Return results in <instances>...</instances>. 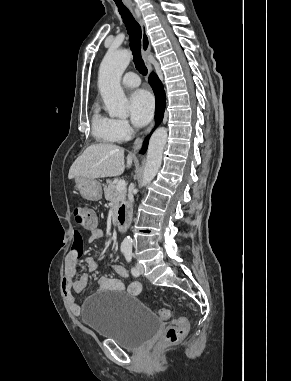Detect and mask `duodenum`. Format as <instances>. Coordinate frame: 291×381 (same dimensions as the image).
Wrapping results in <instances>:
<instances>
[{
  "instance_id": "1",
  "label": "duodenum",
  "mask_w": 291,
  "mask_h": 381,
  "mask_svg": "<svg viewBox=\"0 0 291 381\" xmlns=\"http://www.w3.org/2000/svg\"><path fill=\"white\" fill-rule=\"evenodd\" d=\"M116 226L119 231L123 232L128 226V206L122 204L116 213Z\"/></svg>"
}]
</instances>
